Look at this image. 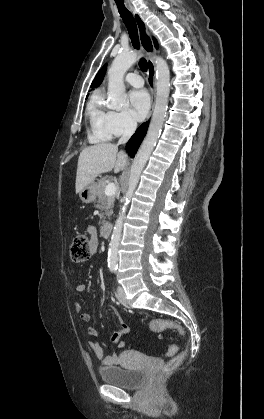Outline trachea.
I'll return each mask as SVG.
<instances>
[{
	"mask_svg": "<svg viewBox=\"0 0 264 419\" xmlns=\"http://www.w3.org/2000/svg\"><path fill=\"white\" fill-rule=\"evenodd\" d=\"M117 7L120 13L121 18L123 19V22L126 25V28L128 30L132 45L135 49H139L140 43L138 38V30L136 22L131 14V12L125 7L124 4L117 3ZM139 66L143 71H147L148 65L145 58H141L139 62Z\"/></svg>",
	"mask_w": 264,
	"mask_h": 419,
	"instance_id": "obj_1",
	"label": "trachea"
}]
</instances>
